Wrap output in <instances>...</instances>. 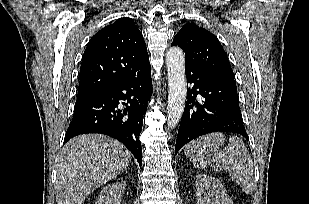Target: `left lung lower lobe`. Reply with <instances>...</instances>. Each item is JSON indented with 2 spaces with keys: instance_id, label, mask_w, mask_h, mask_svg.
Returning a JSON list of instances; mask_svg holds the SVG:
<instances>
[{
  "instance_id": "obj_1",
  "label": "left lung lower lobe",
  "mask_w": 309,
  "mask_h": 204,
  "mask_svg": "<svg viewBox=\"0 0 309 204\" xmlns=\"http://www.w3.org/2000/svg\"><path fill=\"white\" fill-rule=\"evenodd\" d=\"M188 98L181 119L175 153L189 141L211 132H233L249 140L243 125L234 79L204 68L185 66ZM203 97L202 103L196 100Z\"/></svg>"
}]
</instances>
